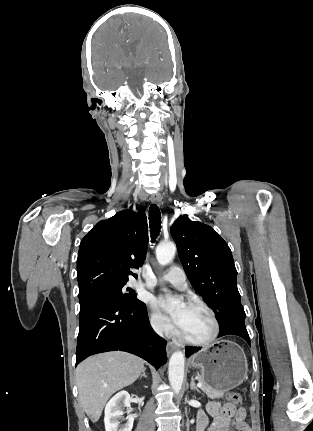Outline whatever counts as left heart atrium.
Segmentation results:
<instances>
[{
    "mask_svg": "<svg viewBox=\"0 0 313 431\" xmlns=\"http://www.w3.org/2000/svg\"><path fill=\"white\" fill-rule=\"evenodd\" d=\"M153 306H154V308H156V309H159V310H163V309H165V306H166V301H165V299L164 298H157V299H154L153 300ZM174 323L179 327V325H180V320H179V318L178 317H174Z\"/></svg>",
    "mask_w": 313,
    "mask_h": 431,
    "instance_id": "1",
    "label": "left heart atrium"
}]
</instances>
